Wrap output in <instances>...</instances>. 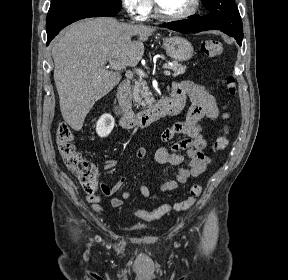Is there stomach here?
<instances>
[{"label":"stomach","instance_id":"stomach-1","mask_svg":"<svg viewBox=\"0 0 288 280\" xmlns=\"http://www.w3.org/2000/svg\"><path fill=\"white\" fill-rule=\"evenodd\" d=\"M163 46L166 53L175 61H188L193 56L192 44L183 37H166L163 39Z\"/></svg>","mask_w":288,"mask_h":280}]
</instances>
